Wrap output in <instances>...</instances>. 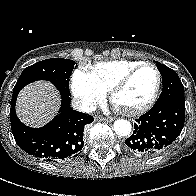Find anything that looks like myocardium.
I'll return each mask as SVG.
<instances>
[{"label":"myocardium","instance_id":"f54148a6","mask_svg":"<svg viewBox=\"0 0 196 196\" xmlns=\"http://www.w3.org/2000/svg\"><path fill=\"white\" fill-rule=\"evenodd\" d=\"M147 67L154 69L157 74V82H156L155 89H154L151 97L145 103H143L142 105H139L137 107L125 109V111L129 114L143 113V112L147 111L148 109H150L153 106V104L155 103V101L157 100L160 89H161V85H162V74H161L159 68L152 63H141V64L137 65L136 67L132 68L131 70H129L128 72H126L121 78H119L115 82V84L110 89V98L114 103H116L115 100H116L117 94L130 82V80L133 78V76L138 71H140L143 68H147Z\"/></svg>","mask_w":196,"mask_h":196}]
</instances>
